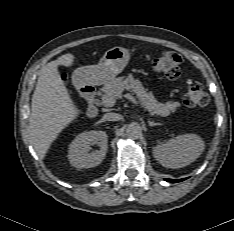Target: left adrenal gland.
I'll use <instances>...</instances> for the list:
<instances>
[{
    "instance_id": "a2214340",
    "label": "left adrenal gland",
    "mask_w": 234,
    "mask_h": 231,
    "mask_svg": "<svg viewBox=\"0 0 234 231\" xmlns=\"http://www.w3.org/2000/svg\"><path fill=\"white\" fill-rule=\"evenodd\" d=\"M148 123H149V126H156V125H161V123H155V122H153V121H148Z\"/></svg>"
}]
</instances>
